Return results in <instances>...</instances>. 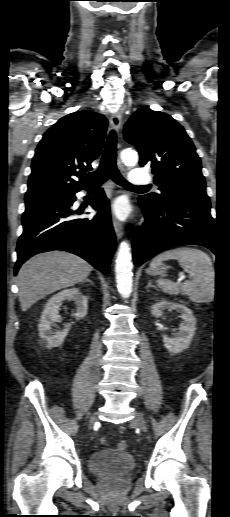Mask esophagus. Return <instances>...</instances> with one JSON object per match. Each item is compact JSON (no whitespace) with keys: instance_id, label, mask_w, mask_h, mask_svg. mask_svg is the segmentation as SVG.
I'll return each instance as SVG.
<instances>
[{"instance_id":"1","label":"esophagus","mask_w":230,"mask_h":517,"mask_svg":"<svg viewBox=\"0 0 230 517\" xmlns=\"http://www.w3.org/2000/svg\"><path fill=\"white\" fill-rule=\"evenodd\" d=\"M121 124H122L121 115L118 112H114L110 118L111 128L113 130H115L116 132H119V130L121 128ZM112 224H113V228H114V231H115L117 237L120 239L123 236L122 224L116 218H113Z\"/></svg>"}]
</instances>
